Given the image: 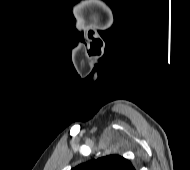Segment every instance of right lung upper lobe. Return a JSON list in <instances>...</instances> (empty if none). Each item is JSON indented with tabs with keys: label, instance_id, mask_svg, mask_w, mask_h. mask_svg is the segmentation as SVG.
Masks as SVG:
<instances>
[{
	"label": "right lung upper lobe",
	"instance_id": "cb5924a9",
	"mask_svg": "<svg viewBox=\"0 0 190 170\" xmlns=\"http://www.w3.org/2000/svg\"><path fill=\"white\" fill-rule=\"evenodd\" d=\"M71 170H136L130 161L119 155H108L82 163Z\"/></svg>",
	"mask_w": 190,
	"mask_h": 170
}]
</instances>
